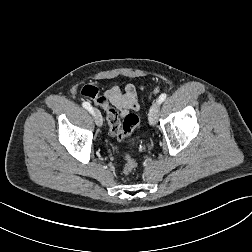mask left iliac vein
Masks as SVG:
<instances>
[{"label":"left iliac vein","instance_id":"4c4485c4","mask_svg":"<svg viewBox=\"0 0 252 252\" xmlns=\"http://www.w3.org/2000/svg\"><path fill=\"white\" fill-rule=\"evenodd\" d=\"M159 112H160V103L157 101L152 104L150 111H149L150 125H152V126L156 125V123L158 122Z\"/></svg>","mask_w":252,"mask_h":252}]
</instances>
